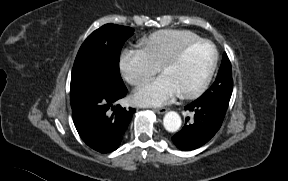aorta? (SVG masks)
<instances>
[{
    "label": "aorta",
    "instance_id": "aorta-1",
    "mask_svg": "<svg viewBox=\"0 0 288 181\" xmlns=\"http://www.w3.org/2000/svg\"><path fill=\"white\" fill-rule=\"evenodd\" d=\"M181 117L175 111L167 112L163 118L164 128L168 132H176L181 127Z\"/></svg>",
    "mask_w": 288,
    "mask_h": 181
}]
</instances>
